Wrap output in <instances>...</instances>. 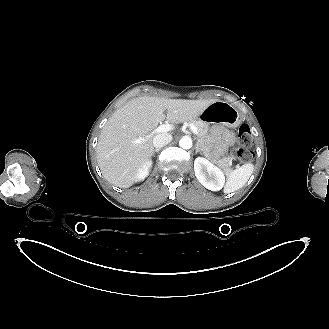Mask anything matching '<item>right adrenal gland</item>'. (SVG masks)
Segmentation results:
<instances>
[{
	"label": "right adrenal gland",
	"instance_id": "2a0ac1e0",
	"mask_svg": "<svg viewBox=\"0 0 329 329\" xmlns=\"http://www.w3.org/2000/svg\"><path fill=\"white\" fill-rule=\"evenodd\" d=\"M160 151V148H157V149H154L153 152H152V155H154L155 152H159Z\"/></svg>",
	"mask_w": 329,
	"mask_h": 329
}]
</instances>
